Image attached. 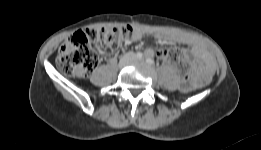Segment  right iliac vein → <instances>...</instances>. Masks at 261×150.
Instances as JSON below:
<instances>
[{
  "label": "right iliac vein",
  "mask_w": 261,
  "mask_h": 150,
  "mask_svg": "<svg viewBox=\"0 0 261 150\" xmlns=\"http://www.w3.org/2000/svg\"><path fill=\"white\" fill-rule=\"evenodd\" d=\"M133 59V56L132 55H128L127 57H125L123 59V61L120 63V66H123L125 65L126 63H128L129 61H131Z\"/></svg>",
  "instance_id": "obj_1"
}]
</instances>
